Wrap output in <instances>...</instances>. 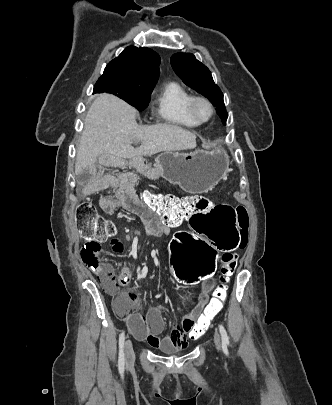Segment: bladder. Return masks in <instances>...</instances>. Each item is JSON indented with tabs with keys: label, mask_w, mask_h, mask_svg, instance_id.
<instances>
[{
	"label": "bladder",
	"mask_w": 332,
	"mask_h": 405,
	"mask_svg": "<svg viewBox=\"0 0 332 405\" xmlns=\"http://www.w3.org/2000/svg\"><path fill=\"white\" fill-rule=\"evenodd\" d=\"M179 352H180V350L177 349V348H171V349H168V350L164 351V353H167V354H176V353H179Z\"/></svg>",
	"instance_id": "obj_1"
}]
</instances>
